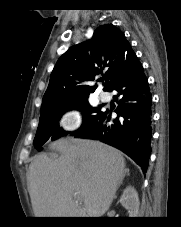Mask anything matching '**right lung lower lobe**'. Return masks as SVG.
<instances>
[{"label":"right lung lower lobe","instance_id":"1","mask_svg":"<svg viewBox=\"0 0 181 227\" xmlns=\"http://www.w3.org/2000/svg\"><path fill=\"white\" fill-rule=\"evenodd\" d=\"M117 91L115 111L120 120L111 121V112H102L98 121L75 135L96 139L114 146L130 156L143 172L147 171L151 153L152 111L151 93L144 69L136 55L131 57L121 75L107 91Z\"/></svg>","mask_w":181,"mask_h":227}]
</instances>
